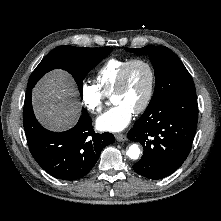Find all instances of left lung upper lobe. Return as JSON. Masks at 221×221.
<instances>
[{
	"label": "left lung upper lobe",
	"instance_id": "obj_1",
	"mask_svg": "<svg viewBox=\"0 0 221 221\" xmlns=\"http://www.w3.org/2000/svg\"><path fill=\"white\" fill-rule=\"evenodd\" d=\"M125 49L135 54L148 55L153 64L156 84L147 109L174 96L195 92L191 75L178 56L169 48L148 46L138 49Z\"/></svg>",
	"mask_w": 221,
	"mask_h": 221
}]
</instances>
